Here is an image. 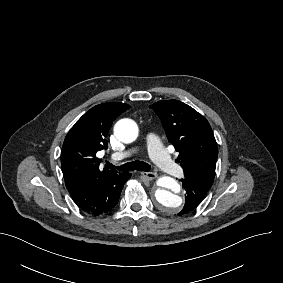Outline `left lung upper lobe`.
<instances>
[{
  "label": "left lung upper lobe",
  "mask_w": 283,
  "mask_h": 283,
  "mask_svg": "<svg viewBox=\"0 0 283 283\" xmlns=\"http://www.w3.org/2000/svg\"><path fill=\"white\" fill-rule=\"evenodd\" d=\"M160 117L167 138L177 151L185 175L214 181L218 149L208 121L195 109L177 100L150 106Z\"/></svg>",
  "instance_id": "5c2ea615"
}]
</instances>
